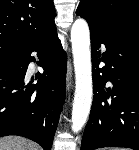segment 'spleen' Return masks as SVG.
Segmentation results:
<instances>
[{
	"label": "spleen",
	"mask_w": 139,
	"mask_h": 150,
	"mask_svg": "<svg viewBox=\"0 0 139 150\" xmlns=\"http://www.w3.org/2000/svg\"><path fill=\"white\" fill-rule=\"evenodd\" d=\"M115 150H124V149H115Z\"/></svg>",
	"instance_id": "obj_1"
}]
</instances>
